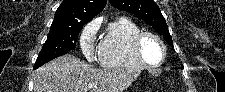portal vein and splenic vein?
Masks as SVG:
<instances>
[{
  "label": "portal vein and splenic vein",
  "mask_w": 225,
  "mask_h": 92,
  "mask_svg": "<svg viewBox=\"0 0 225 92\" xmlns=\"http://www.w3.org/2000/svg\"><path fill=\"white\" fill-rule=\"evenodd\" d=\"M95 86L93 84H89L86 88L87 89H91V88H94Z\"/></svg>",
  "instance_id": "obj_1"
}]
</instances>
